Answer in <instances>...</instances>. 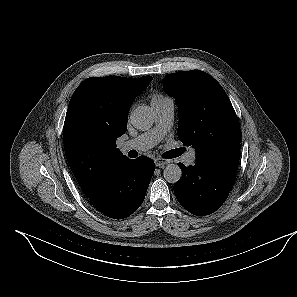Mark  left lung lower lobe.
<instances>
[{"mask_svg":"<svg viewBox=\"0 0 297 297\" xmlns=\"http://www.w3.org/2000/svg\"><path fill=\"white\" fill-rule=\"evenodd\" d=\"M238 162L239 146H235L206 160H196L194 166L179 163L183 176L174 186L178 202L197 216L215 212L233 187Z\"/></svg>","mask_w":297,"mask_h":297,"instance_id":"1","label":"left lung lower lobe"}]
</instances>
